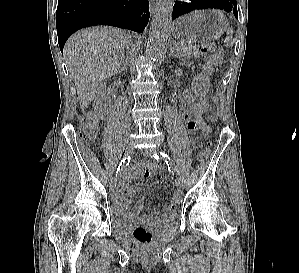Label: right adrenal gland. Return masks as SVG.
<instances>
[{"label": "right adrenal gland", "instance_id": "2a0ac1e0", "mask_svg": "<svg viewBox=\"0 0 299 273\" xmlns=\"http://www.w3.org/2000/svg\"><path fill=\"white\" fill-rule=\"evenodd\" d=\"M127 66V60L123 63V66L121 68V71H123L125 69V67Z\"/></svg>", "mask_w": 299, "mask_h": 273}]
</instances>
